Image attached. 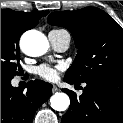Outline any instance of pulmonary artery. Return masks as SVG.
Here are the masks:
<instances>
[{
    "label": "pulmonary artery",
    "mask_w": 123,
    "mask_h": 123,
    "mask_svg": "<svg viewBox=\"0 0 123 123\" xmlns=\"http://www.w3.org/2000/svg\"><path fill=\"white\" fill-rule=\"evenodd\" d=\"M52 47L59 52L67 50L70 46L71 37L68 31L63 29L52 30L48 34Z\"/></svg>",
    "instance_id": "pulmonary-artery-1"
}]
</instances>
